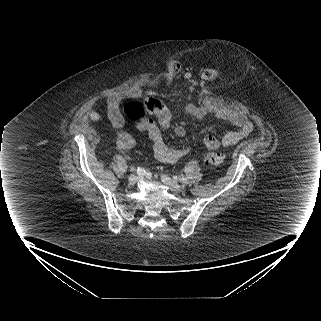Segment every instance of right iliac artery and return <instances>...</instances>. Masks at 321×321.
<instances>
[{"label": "right iliac artery", "instance_id": "obj_1", "mask_svg": "<svg viewBox=\"0 0 321 321\" xmlns=\"http://www.w3.org/2000/svg\"><path fill=\"white\" fill-rule=\"evenodd\" d=\"M132 170H133V171H136V170H137L138 173L142 171V169H140V168H137V169H136L135 167H133Z\"/></svg>", "mask_w": 321, "mask_h": 321}]
</instances>
